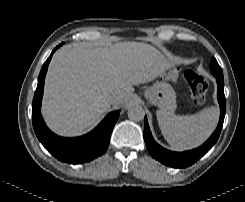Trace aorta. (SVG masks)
Returning a JSON list of instances; mask_svg holds the SVG:
<instances>
[{"label": "aorta", "instance_id": "obj_1", "mask_svg": "<svg viewBox=\"0 0 245 202\" xmlns=\"http://www.w3.org/2000/svg\"><path fill=\"white\" fill-rule=\"evenodd\" d=\"M144 115V109L139 105H132L128 108V117L133 121L143 120Z\"/></svg>", "mask_w": 245, "mask_h": 202}]
</instances>
